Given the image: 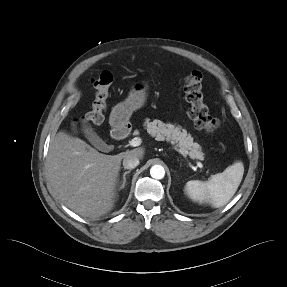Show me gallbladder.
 Wrapping results in <instances>:
<instances>
[{
    "label": "gallbladder",
    "instance_id": "obj_1",
    "mask_svg": "<svg viewBox=\"0 0 287 287\" xmlns=\"http://www.w3.org/2000/svg\"><path fill=\"white\" fill-rule=\"evenodd\" d=\"M82 133L84 134L85 138L97 149L101 150L104 148V142L98 136V134L94 131V129L88 125L84 124L81 128Z\"/></svg>",
    "mask_w": 287,
    "mask_h": 287
}]
</instances>
